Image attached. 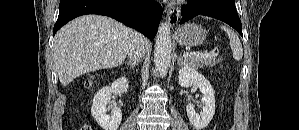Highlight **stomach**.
Here are the masks:
<instances>
[{
  "instance_id": "1",
  "label": "stomach",
  "mask_w": 299,
  "mask_h": 130,
  "mask_svg": "<svg viewBox=\"0 0 299 130\" xmlns=\"http://www.w3.org/2000/svg\"><path fill=\"white\" fill-rule=\"evenodd\" d=\"M175 37L180 45L199 46L205 41L206 32L195 23H187L176 31Z\"/></svg>"
}]
</instances>
